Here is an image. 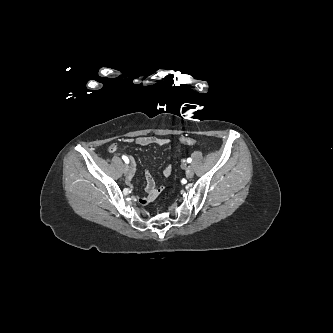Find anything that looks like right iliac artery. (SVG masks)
Here are the masks:
<instances>
[{
  "label": "right iliac artery",
  "instance_id": "1",
  "mask_svg": "<svg viewBox=\"0 0 333 333\" xmlns=\"http://www.w3.org/2000/svg\"><path fill=\"white\" fill-rule=\"evenodd\" d=\"M122 159L124 160V162H125L126 164L129 163V159H128L126 156H122Z\"/></svg>",
  "mask_w": 333,
  "mask_h": 333
}]
</instances>
